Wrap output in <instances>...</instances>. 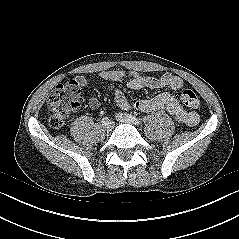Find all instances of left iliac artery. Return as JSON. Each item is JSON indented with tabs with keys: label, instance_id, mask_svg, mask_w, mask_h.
<instances>
[{
	"label": "left iliac artery",
	"instance_id": "left-iliac-artery-1",
	"mask_svg": "<svg viewBox=\"0 0 239 239\" xmlns=\"http://www.w3.org/2000/svg\"><path fill=\"white\" fill-rule=\"evenodd\" d=\"M130 118L134 119L138 124L141 123V119L140 118H137L131 114H128Z\"/></svg>",
	"mask_w": 239,
	"mask_h": 239
}]
</instances>
